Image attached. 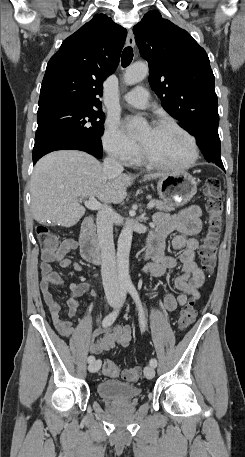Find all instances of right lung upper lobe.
<instances>
[{
	"label": "right lung upper lobe",
	"instance_id": "cb5924a9",
	"mask_svg": "<svg viewBox=\"0 0 245 457\" xmlns=\"http://www.w3.org/2000/svg\"><path fill=\"white\" fill-rule=\"evenodd\" d=\"M126 35L101 13L65 39L47 64L38 112L67 103L101 106L103 81L117 68Z\"/></svg>",
	"mask_w": 245,
	"mask_h": 457
}]
</instances>
